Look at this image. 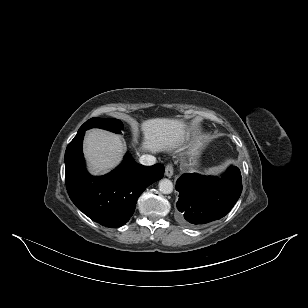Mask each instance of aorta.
<instances>
[{
  "mask_svg": "<svg viewBox=\"0 0 308 308\" xmlns=\"http://www.w3.org/2000/svg\"><path fill=\"white\" fill-rule=\"evenodd\" d=\"M159 190L163 194H170L173 191V183L169 179H162L159 181Z\"/></svg>",
  "mask_w": 308,
  "mask_h": 308,
  "instance_id": "aorta-1",
  "label": "aorta"
}]
</instances>
